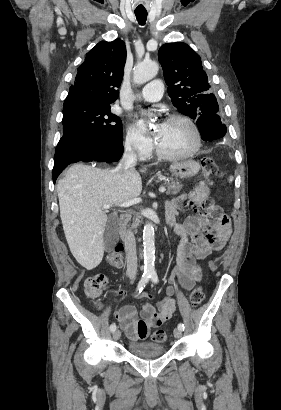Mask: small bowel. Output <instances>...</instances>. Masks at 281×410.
I'll return each mask as SVG.
<instances>
[{
    "label": "small bowel",
    "instance_id": "obj_1",
    "mask_svg": "<svg viewBox=\"0 0 281 410\" xmlns=\"http://www.w3.org/2000/svg\"><path fill=\"white\" fill-rule=\"evenodd\" d=\"M206 193L207 187L200 183L192 193L180 195L166 204L167 223L179 237L176 266L169 277V295L174 291L172 284L175 282L185 290L192 289L201 278L198 260L206 258L214 251H220L231 236L230 221L224 222L223 217L218 214L198 212L187 216L182 223L177 221L180 213L186 210L197 211ZM132 296L146 298L151 297V294L145 290H135ZM175 308V301L168 297L159 302L158 309L150 303L143 304L142 318L137 317V311L132 305L122 306L115 318L130 340L139 341L148 337L151 327L169 320Z\"/></svg>",
    "mask_w": 281,
    "mask_h": 410
}]
</instances>
